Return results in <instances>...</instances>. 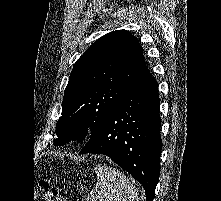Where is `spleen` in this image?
Returning a JSON list of instances; mask_svg holds the SVG:
<instances>
[{
  "mask_svg": "<svg viewBox=\"0 0 221 201\" xmlns=\"http://www.w3.org/2000/svg\"><path fill=\"white\" fill-rule=\"evenodd\" d=\"M96 186L86 197V201H138L135 187L126 176L116 168L97 164Z\"/></svg>",
  "mask_w": 221,
  "mask_h": 201,
  "instance_id": "1",
  "label": "spleen"
}]
</instances>
